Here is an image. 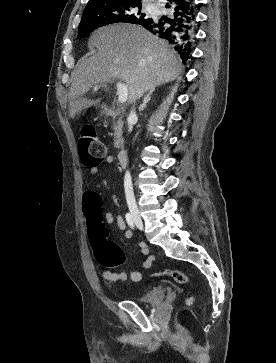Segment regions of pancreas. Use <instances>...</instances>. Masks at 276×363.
Instances as JSON below:
<instances>
[{
	"label": "pancreas",
	"mask_w": 276,
	"mask_h": 363,
	"mask_svg": "<svg viewBox=\"0 0 276 363\" xmlns=\"http://www.w3.org/2000/svg\"><path fill=\"white\" fill-rule=\"evenodd\" d=\"M123 121L118 119L113 122V129H114V146L116 148H120L123 146L124 139L122 137L123 134Z\"/></svg>",
	"instance_id": "obj_1"
}]
</instances>
